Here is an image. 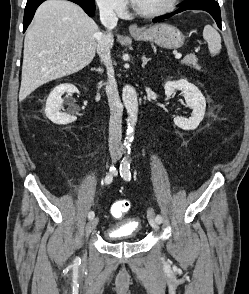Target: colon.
Wrapping results in <instances>:
<instances>
[{"instance_id":"obj_1","label":"colon","mask_w":249,"mask_h":294,"mask_svg":"<svg viewBox=\"0 0 249 294\" xmlns=\"http://www.w3.org/2000/svg\"><path fill=\"white\" fill-rule=\"evenodd\" d=\"M131 208V203L128 200H119L112 206L113 216L119 218L124 216Z\"/></svg>"}]
</instances>
